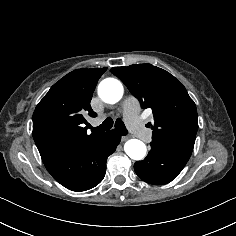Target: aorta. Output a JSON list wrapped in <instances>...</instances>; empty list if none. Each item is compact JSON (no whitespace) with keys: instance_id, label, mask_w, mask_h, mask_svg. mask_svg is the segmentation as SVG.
Returning <instances> with one entry per match:
<instances>
[{"instance_id":"aorta-1","label":"aorta","mask_w":236,"mask_h":236,"mask_svg":"<svg viewBox=\"0 0 236 236\" xmlns=\"http://www.w3.org/2000/svg\"><path fill=\"white\" fill-rule=\"evenodd\" d=\"M98 95L105 103L115 104L123 96L122 83L115 78H106L98 86ZM124 150L133 160H142L147 152L146 145L138 139L128 140Z\"/></svg>"}]
</instances>
